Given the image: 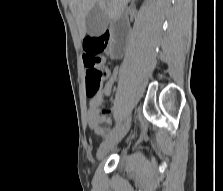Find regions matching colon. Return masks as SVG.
Segmentation results:
<instances>
[{"mask_svg": "<svg viewBox=\"0 0 223 191\" xmlns=\"http://www.w3.org/2000/svg\"><path fill=\"white\" fill-rule=\"evenodd\" d=\"M110 41L108 33L89 35L83 41V62L86 68V95L94 97L102 83L108 80L111 70L104 64L102 53Z\"/></svg>", "mask_w": 223, "mask_h": 191, "instance_id": "1", "label": "colon"}]
</instances>
